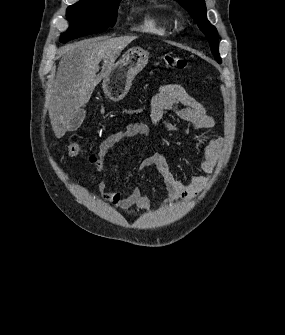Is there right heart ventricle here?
<instances>
[{
    "mask_svg": "<svg viewBox=\"0 0 285 335\" xmlns=\"http://www.w3.org/2000/svg\"><path fill=\"white\" fill-rule=\"evenodd\" d=\"M142 31L154 35H163L164 34V29L160 27L156 21L152 18H148L145 20L141 27Z\"/></svg>",
    "mask_w": 285,
    "mask_h": 335,
    "instance_id": "e07e8e85",
    "label": "right heart ventricle"
}]
</instances>
